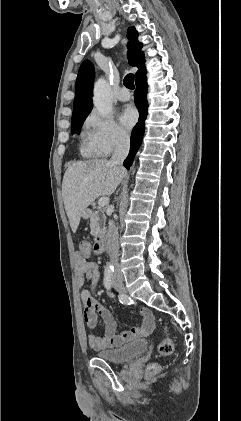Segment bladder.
Returning <instances> with one entry per match:
<instances>
[{
  "label": "bladder",
  "mask_w": 241,
  "mask_h": 421,
  "mask_svg": "<svg viewBox=\"0 0 241 421\" xmlns=\"http://www.w3.org/2000/svg\"><path fill=\"white\" fill-rule=\"evenodd\" d=\"M147 348L148 343L146 340H137L118 348L100 351L97 353V357L109 363L122 364L137 358Z\"/></svg>",
  "instance_id": "obj_1"
}]
</instances>
